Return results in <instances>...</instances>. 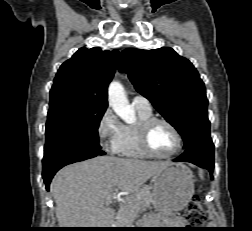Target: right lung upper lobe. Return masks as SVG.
<instances>
[{
	"label": "right lung upper lobe",
	"instance_id": "cb5924a9",
	"mask_svg": "<svg viewBox=\"0 0 252 231\" xmlns=\"http://www.w3.org/2000/svg\"><path fill=\"white\" fill-rule=\"evenodd\" d=\"M118 55L117 50L80 48L60 66L50 90V100L66 99L107 107V87L115 73Z\"/></svg>",
	"mask_w": 252,
	"mask_h": 231
}]
</instances>
